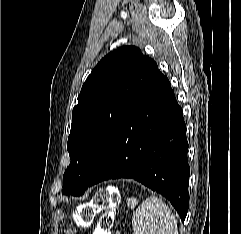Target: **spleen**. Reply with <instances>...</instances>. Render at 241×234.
<instances>
[{
    "mask_svg": "<svg viewBox=\"0 0 241 234\" xmlns=\"http://www.w3.org/2000/svg\"><path fill=\"white\" fill-rule=\"evenodd\" d=\"M127 205L135 209L133 234H178L176 218L161 199L150 196L140 203L132 197L127 199Z\"/></svg>",
    "mask_w": 241,
    "mask_h": 234,
    "instance_id": "spleen-1",
    "label": "spleen"
}]
</instances>
